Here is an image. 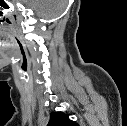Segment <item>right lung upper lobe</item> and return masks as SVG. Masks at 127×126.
Instances as JSON below:
<instances>
[{
  "label": "right lung upper lobe",
  "instance_id": "cb5924a9",
  "mask_svg": "<svg viewBox=\"0 0 127 126\" xmlns=\"http://www.w3.org/2000/svg\"><path fill=\"white\" fill-rule=\"evenodd\" d=\"M47 126H78V124L70 120L68 114L63 112H52Z\"/></svg>",
  "mask_w": 127,
  "mask_h": 126
}]
</instances>
